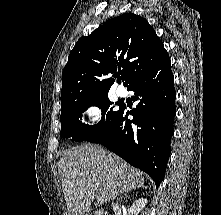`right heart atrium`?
Here are the masks:
<instances>
[{
  "instance_id": "1",
  "label": "right heart atrium",
  "mask_w": 221,
  "mask_h": 215,
  "mask_svg": "<svg viewBox=\"0 0 221 215\" xmlns=\"http://www.w3.org/2000/svg\"><path fill=\"white\" fill-rule=\"evenodd\" d=\"M83 114L89 126H96L103 118V109L100 105L93 103L84 108Z\"/></svg>"
}]
</instances>
